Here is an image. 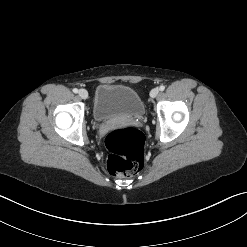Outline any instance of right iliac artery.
Returning a JSON list of instances; mask_svg holds the SVG:
<instances>
[{
	"instance_id": "82829eb1",
	"label": "right iliac artery",
	"mask_w": 247,
	"mask_h": 247,
	"mask_svg": "<svg viewBox=\"0 0 247 247\" xmlns=\"http://www.w3.org/2000/svg\"><path fill=\"white\" fill-rule=\"evenodd\" d=\"M73 92H74V93H78V89H77V88H74V89H73Z\"/></svg>"
}]
</instances>
